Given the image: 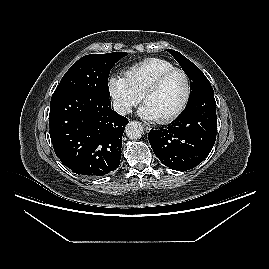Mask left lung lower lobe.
Segmentation results:
<instances>
[{
  "instance_id": "left-lung-lower-lobe-1",
  "label": "left lung lower lobe",
  "mask_w": 269,
  "mask_h": 269,
  "mask_svg": "<svg viewBox=\"0 0 269 269\" xmlns=\"http://www.w3.org/2000/svg\"><path fill=\"white\" fill-rule=\"evenodd\" d=\"M217 132L213 89L188 102L179 118L165 129L148 134L150 145L161 163L173 170H189L210 153Z\"/></svg>"
}]
</instances>
